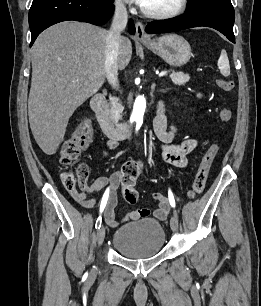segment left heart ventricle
Returning <instances> with one entry per match:
<instances>
[{
	"label": "left heart ventricle",
	"instance_id": "left-heart-ventricle-1",
	"mask_svg": "<svg viewBox=\"0 0 261 306\" xmlns=\"http://www.w3.org/2000/svg\"><path fill=\"white\" fill-rule=\"evenodd\" d=\"M179 3V0H146L144 8L150 11H169L174 9Z\"/></svg>",
	"mask_w": 261,
	"mask_h": 306
}]
</instances>
